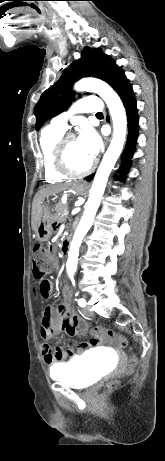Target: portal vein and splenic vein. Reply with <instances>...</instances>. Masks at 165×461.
Listing matches in <instances>:
<instances>
[{
    "label": "portal vein and splenic vein",
    "mask_w": 165,
    "mask_h": 461,
    "mask_svg": "<svg viewBox=\"0 0 165 461\" xmlns=\"http://www.w3.org/2000/svg\"><path fill=\"white\" fill-rule=\"evenodd\" d=\"M69 214V211L66 209L63 213V216H67Z\"/></svg>",
    "instance_id": "1"
}]
</instances>
